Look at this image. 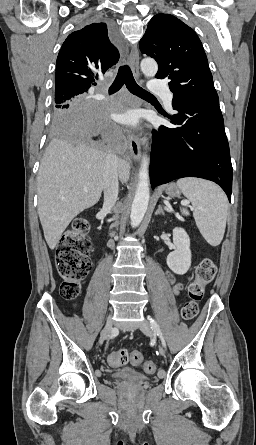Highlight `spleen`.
Segmentation results:
<instances>
[{"mask_svg":"<svg viewBox=\"0 0 256 445\" xmlns=\"http://www.w3.org/2000/svg\"><path fill=\"white\" fill-rule=\"evenodd\" d=\"M177 186L192 203L194 219L204 239L218 246L224 236L228 212L225 193L216 184L199 178H182ZM183 214L187 210L182 209Z\"/></svg>","mask_w":256,"mask_h":445,"instance_id":"1","label":"spleen"}]
</instances>
